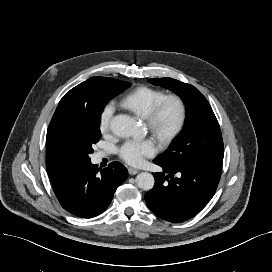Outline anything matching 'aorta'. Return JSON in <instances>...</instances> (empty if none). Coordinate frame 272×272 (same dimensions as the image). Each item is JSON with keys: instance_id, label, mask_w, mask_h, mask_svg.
<instances>
[{"instance_id": "762f6f07", "label": "aorta", "mask_w": 272, "mask_h": 272, "mask_svg": "<svg viewBox=\"0 0 272 272\" xmlns=\"http://www.w3.org/2000/svg\"><path fill=\"white\" fill-rule=\"evenodd\" d=\"M111 131L119 137H129L138 132L136 119L126 114H119L110 122ZM155 180L151 173L141 172L136 176V184L142 190H151Z\"/></svg>"}]
</instances>
